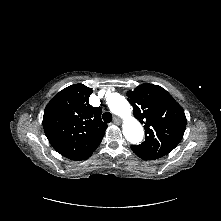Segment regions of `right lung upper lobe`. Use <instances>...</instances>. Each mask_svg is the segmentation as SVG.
<instances>
[{
  "mask_svg": "<svg viewBox=\"0 0 221 221\" xmlns=\"http://www.w3.org/2000/svg\"><path fill=\"white\" fill-rule=\"evenodd\" d=\"M92 92L83 84L71 85L53 97L44 110L43 127L50 144L71 160L91 155L107 128L101 120V108L88 102Z\"/></svg>",
  "mask_w": 221,
  "mask_h": 221,
  "instance_id": "right-lung-upper-lobe-1",
  "label": "right lung upper lobe"
}]
</instances>
